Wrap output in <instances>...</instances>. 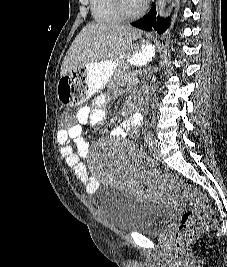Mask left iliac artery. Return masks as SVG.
<instances>
[{
    "label": "left iliac artery",
    "mask_w": 227,
    "mask_h": 267,
    "mask_svg": "<svg viewBox=\"0 0 227 267\" xmlns=\"http://www.w3.org/2000/svg\"><path fill=\"white\" fill-rule=\"evenodd\" d=\"M147 141H148L149 145H152V142H153V134L151 132H148Z\"/></svg>",
    "instance_id": "44dca946"
}]
</instances>
